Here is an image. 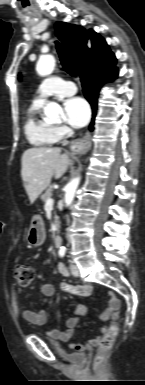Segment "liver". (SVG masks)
I'll list each match as a JSON object with an SVG mask.
<instances>
[{"label":"liver","mask_w":145,"mask_h":385,"mask_svg":"<svg viewBox=\"0 0 145 385\" xmlns=\"http://www.w3.org/2000/svg\"><path fill=\"white\" fill-rule=\"evenodd\" d=\"M21 176L30 203L49 186L52 177L59 179L71 165L68 154H61L60 148H30L21 159Z\"/></svg>","instance_id":"liver-1"}]
</instances>
